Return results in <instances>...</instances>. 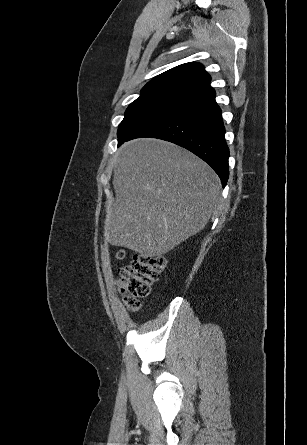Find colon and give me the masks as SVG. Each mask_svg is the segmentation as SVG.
Masks as SVG:
<instances>
[{
  "label": "colon",
  "mask_w": 307,
  "mask_h": 445,
  "mask_svg": "<svg viewBox=\"0 0 307 445\" xmlns=\"http://www.w3.org/2000/svg\"><path fill=\"white\" fill-rule=\"evenodd\" d=\"M125 252L119 250L118 259H123ZM165 267V259L159 256L137 255L119 271L118 285L125 296L128 308L137 311L139 298L148 296L151 286L159 279Z\"/></svg>",
  "instance_id": "colon-1"
}]
</instances>
